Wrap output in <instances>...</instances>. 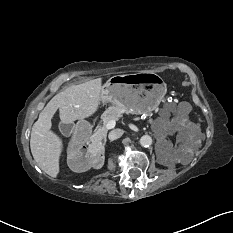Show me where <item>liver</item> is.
Returning <instances> with one entry per match:
<instances>
[{
    "label": "liver",
    "instance_id": "obj_1",
    "mask_svg": "<svg viewBox=\"0 0 233 233\" xmlns=\"http://www.w3.org/2000/svg\"><path fill=\"white\" fill-rule=\"evenodd\" d=\"M102 93L101 78L72 85L57 93L40 112L32 127L30 149L37 165L51 177L59 174V159L63 150L62 139L51 131L56 111L59 109L62 123L83 120L98 111Z\"/></svg>",
    "mask_w": 233,
    "mask_h": 233
}]
</instances>
